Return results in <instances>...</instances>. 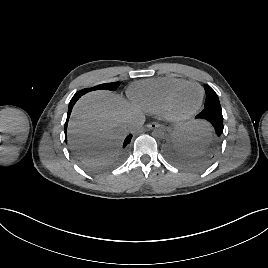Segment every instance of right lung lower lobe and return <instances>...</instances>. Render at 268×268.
Listing matches in <instances>:
<instances>
[{
    "label": "right lung lower lobe",
    "mask_w": 268,
    "mask_h": 268,
    "mask_svg": "<svg viewBox=\"0 0 268 268\" xmlns=\"http://www.w3.org/2000/svg\"><path fill=\"white\" fill-rule=\"evenodd\" d=\"M80 97H81V95L76 93V94L73 96V98L71 99V101H70V103H69V106H68L67 120H66V122H65V142H66V143H67V124H68V119H69V117H70V114H71V111H72V108H73L74 104L76 103V101H77ZM131 138H132V134H130V135H128V136L126 137V139L124 140V143H123V145H122L123 150H126V149H127V146H128V144L130 143V141H131Z\"/></svg>",
    "instance_id": "1"
}]
</instances>
